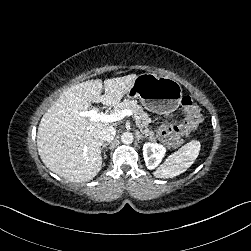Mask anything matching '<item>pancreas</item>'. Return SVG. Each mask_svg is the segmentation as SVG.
Returning <instances> with one entry per match:
<instances>
[{"label":"pancreas","mask_w":251,"mask_h":251,"mask_svg":"<svg viewBox=\"0 0 251 251\" xmlns=\"http://www.w3.org/2000/svg\"><path fill=\"white\" fill-rule=\"evenodd\" d=\"M124 109H128L132 112V115L136 121V125L139 129H144L145 125L150 122V117L143 111V107L138 104L137 100L127 99L116 104L115 110ZM143 134L148 136L150 140L155 138L154 134L149 129L143 130Z\"/></svg>","instance_id":"obj_1"}]
</instances>
